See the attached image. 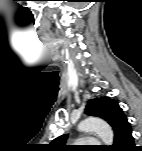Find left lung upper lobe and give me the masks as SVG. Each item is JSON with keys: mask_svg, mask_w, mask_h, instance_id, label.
<instances>
[{"mask_svg": "<svg viewBox=\"0 0 142 151\" xmlns=\"http://www.w3.org/2000/svg\"><path fill=\"white\" fill-rule=\"evenodd\" d=\"M85 112L104 119L112 126L114 142L124 131L131 127L118 103L109 97L88 100ZM66 139L67 135L59 136L52 141L51 146L56 148V150H64L66 145H63V143L66 142Z\"/></svg>", "mask_w": 142, "mask_h": 151, "instance_id": "left-lung-upper-lobe-1", "label": "left lung upper lobe"}]
</instances>
